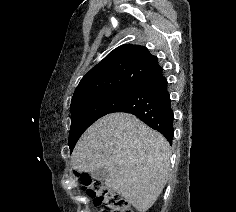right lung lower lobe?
Here are the masks:
<instances>
[{"label":"right lung lower lobe","instance_id":"right-lung-lower-lobe-1","mask_svg":"<svg viewBox=\"0 0 236 212\" xmlns=\"http://www.w3.org/2000/svg\"><path fill=\"white\" fill-rule=\"evenodd\" d=\"M114 112H126L137 116L172 143L174 115L168 83L161 67L143 77Z\"/></svg>","mask_w":236,"mask_h":212}]
</instances>
